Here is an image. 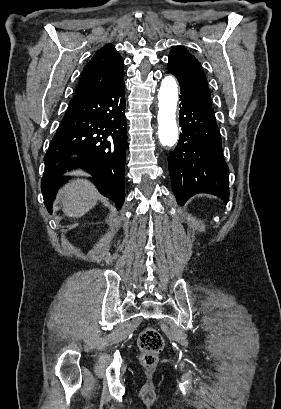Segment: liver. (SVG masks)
Here are the masks:
<instances>
[{
	"instance_id": "obj_1",
	"label": "liver",
	"mask_w": 281,
	"mask_h": 409,
	"mask_svg": "<svg viewBox=\"0 0 281 409\" xmlns=\"http://www.w3.org/2000/svg\"><path fill=\"white\" fill-rule=\"evenodd\" d=\"M72 174L74 176H89V174H83V170H74ZM59 196L63 213L67 217L79 219L95 207L99 192L95 184L87 178H72L70 182L60 188Z\"/></svg>"
}]
</instances>
